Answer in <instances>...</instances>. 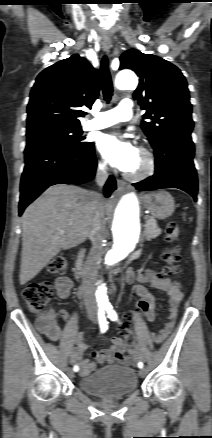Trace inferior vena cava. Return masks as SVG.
Here are the masks:
<instances>
[{
  "label": "inferior vena cava",
  "instance_id": "1",
  "mask_svg": "<svg viewBox=\"0 0 212 438\" xmlns=\"http://www.w3.org/2000/svg\"><path fill=\"white\" fill-rule=\"evenodd\" d=\"M108 178L104 167H99L96 173V182L102 187ZM95 212L91 224L89 237L92 242V248L89 252L83 270V290L85 293V305L89 310L97 309V300L95 297V280L97 278V266L102 255V241L105 238V221L103 196L94 193Z\"/></svg>",
  "mask_w": 212,
  "mask_h": 438
}]
</instances>
